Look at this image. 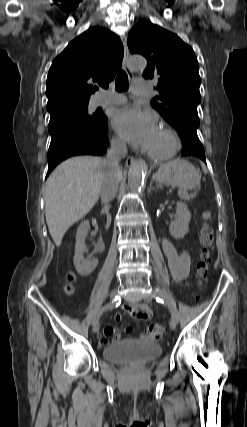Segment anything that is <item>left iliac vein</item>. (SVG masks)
<instances>
[{"instance_id": "1", "label": "left iliac vein", "mask_w": 247, "mask_h": 427, "mask_svg": "<svg viewBox=\"0 0 247 427\" xmlns=\"http://www.w3.org/2000/svg\"><path fill=\"white\" fill-rule=\"evenodd\" d=\"M144 300H145L146 302H150V301L152 300V294H147V295L144 297ZM169 326H170V328H171L172 330H174V329L176 328V326H177V320H176V319H174V318H171V320H170V322H169Z\"/></svg>"}]
</instances>
